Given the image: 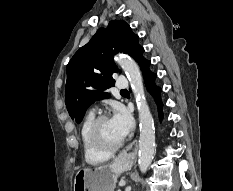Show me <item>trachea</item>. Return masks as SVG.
<instances>
[{
  "label": "trachea",
  "mask_w": 233,
  "mask_h": 191,
  "mask_svg": "<svg viewBox=\"0 0 233 191\" xmlns=\"http://www.w3.org/2000/svg\"><path fill=\"white\" fill-rule=\"evenodd\" d=\"M127 90H121V92H126Z\"/></svg>",
  "instance_id": "obj_1"
}]
</instances>
